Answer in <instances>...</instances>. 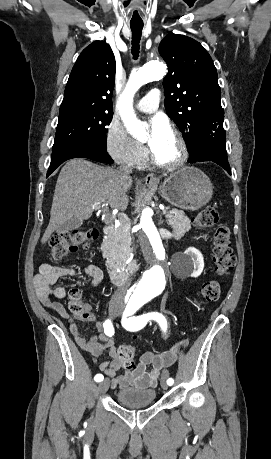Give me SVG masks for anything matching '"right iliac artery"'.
<instances>
[{
	"label": "right iliac artery",
	"instance_id": "right-iliac-artery-1",
	"mask_svg": "<svg viewBox=\"0 0 271 459\" xmlns=\"http://www.w3.org/2000/svg\"><path fill=\"white\" fill-rule=\"evenodd\" d=\"M103 327H104V333L111 337L114 335V327L111 323V321L108 319L106 320L104 323H103ZM104 379V376L102 374H97L95 377H94V380L96 382H100Z\"/></svg>",
	"mask_w": 271,
	"mask_h": 459
}]
</instances>
